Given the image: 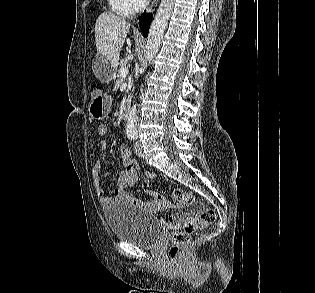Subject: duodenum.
<instances>
[{"mask_svg":"<svg viewBox=\"0 0 315 293\" xmlns=\"http://www.w3.org/2000/svg\"><path fill=\"white\" fill-rule=\"evenodd\" d=\"M131 103L129 100L124 101L121 108V114L123 118H128L130 113Z\"/></svg>","mask_w":315,"mask_h":293,"instance_id":"obj_1","label":"duodenum"}]
</instances>
